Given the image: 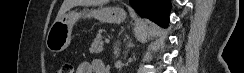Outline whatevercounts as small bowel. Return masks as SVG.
<instances>
[{
  "label": "small bowel",
  "instance_id": "obj_1",
  "mask_svg": "<svg viewBox=\"0 0 244 73\" xmlns=\"http://www.w3.org/2000/svg\"><path fill=\"white\" fill-rule=\"evenodd\" d=\"M76 73H110L108 67L98 59L81 62Z\"/></svg>",
  "mask_w": 244,
  "mask_h": 73
}]
</instances>
